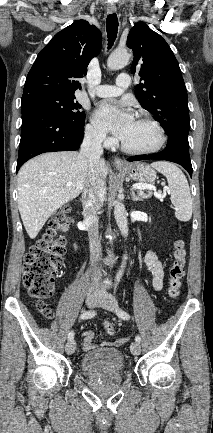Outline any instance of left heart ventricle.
I'll list each match as a JSON object with an SVG mask.
<instances>
[{"label": "left heart ventricle", "instance_id": "left-heart-ventricle-1", "mask_svg": "<svg viewBox=\"0 0 213 433\" xmlns=\"http://www.w3.org/2000/svg\"><path fill=\"white\" fill-rule=\"evenodd\" d=\"M157 141V134L150 125L136 120L122 142L132 149H145L153 146Z\"/></svg>", "mask_w": 213, "mask_h": 433}]
</instances>
